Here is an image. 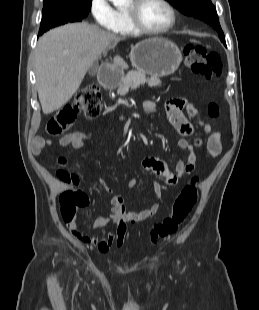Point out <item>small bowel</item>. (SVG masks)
<instances>
[{
	"label": "small bowel",
	"instance_id": "obj_1",
	"mask_svg": "<svg viewBox=\"0 0 259 310\" xmlns=\"http://www.w3.org/2000/svg\"><path fill=\"white\" fill-rule=\"evenodd\" d=\"M157 109L156 103L151 100L145 101L142 105V110L148 114H155ZM165 111L169 122L180 135L179 147L186 150L188 156L185 161L179 160L176 163L175 173L158 158L147 157L141 161L140 168L143 171L152 172L164 179L163 185L158 183L154 185L157 195L155 203L142 211L129 212L126 210L124 198L116 194L110 199V214L96 218L90 226L94 231L100 232L99 234L82 236L78 224L73 223L68 226L74 237L88 246L96 247L102 254L107 253L113 245L120 247L124 244L128 224H137L156 215L162 203L160 192L163 187H174L183 175L190 174L195 170L197 165L195 147L202 145V139L194 137L193 141H190L189 138L194 136L196 127H202L205 132L210 134L207 141L208 156L216 157L221 152V133L213 130L208 123L204 122L190 102L181 98L170 99L165 103ZM92 135V132H81L64 136L58 140V144L63 147L81 148ZM50 143L49 140L42 137L33 139L31 145L33 154L40 155ZM100 185L105 191H110V186L105 180H100ZM110 224H113L114 228L111 231H106V227Z\"/></svg>",
	"mask_w": 259,
	"mask_h": 310
}]
</instances>
